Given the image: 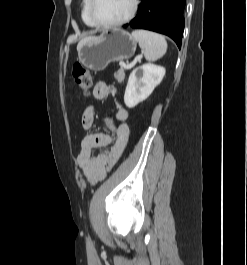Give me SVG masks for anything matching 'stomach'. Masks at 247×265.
<instances>
[{"instance_id": "obj_1", "label": "stomach", "mask_w": 247, "mask_h": 265, "mask_svg": "<svg viewBox=\"0 0 247 265\" xmlns=\"http://www.w3.org/2000/svg\"><path fill=\"white\" fill-rule=\"evenodd\" d=\"M137 47L132 35L122 29H110L98 37H90L78 47V59L88 69L104 70L109 63L130 59Z\"/></svg>"}]
</instances>
